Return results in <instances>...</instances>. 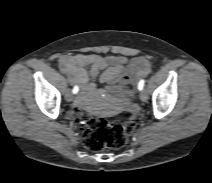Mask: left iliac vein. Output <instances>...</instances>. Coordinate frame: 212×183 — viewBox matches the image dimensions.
<instances>
[{
  "label": "left iliac vein",
  "mask_w": 212,
  "mask_h": 183,
  "mask_svg": "<svg viewBox=\"0 0 212 183\" xmlns=\"http://www.w3.org/2000/svg\"><path fill=\"white\" fill-rule=\"evenodd\" d=\"M140 99H141L142 102H146L147 101V99H148V93H147L146 90H142L140 92Z\"/></svg>",
  "instance_id": "left-iliac-vein-1"
}]
</instances>
